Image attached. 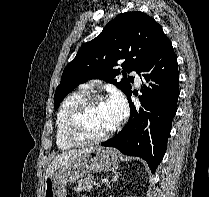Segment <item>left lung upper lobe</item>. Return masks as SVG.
I'll list each match as a JSON object with an SVG mask.
<instances>
[{
	"label": "left lung upper lobe",
	"instance_id": "obj_1",
	"mask_svg": "<svg viewBox=\"0 0 209 197\" xmlns=\"http://www.w3.org/2000/svg\"><path fill=\"white\" fill-rule=\"evenodd\" d=\"M166 39L161 26L147 14L140 11L118 14L95 39L81 46L65 67L54 95L55 109L70 91L90 79L112 83L128 96L134 78H125L126 72L139 73ZM120 60L124 71L115 68ZM121 73L124 78L118 81Z\"/></svg>",
	"mask_w": 209,
	"mask_h": 197
}]
</instances>
